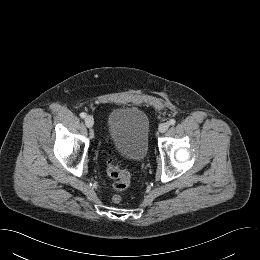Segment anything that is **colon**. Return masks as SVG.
Here are the masks:
<instances>
[{"label": "colon", "instance_id": "5ec220e1", "mask_svg": "<svg viewBox=\"0 0 260 260\" xmlns=\"http://www.w3.org/2000/svg\"><path fill=\"white\" fill-rule=\"evenodd\" d=\"M106 171L108 176L114 179L113 188L116 193L112 196V202L118 204L122 201V196L119 192L124 191L130 185V175L127 171L120 169L111 157L107 158Z\"/></svg>", "mask_w": 260, "mask_h": 260}]
</instances>
